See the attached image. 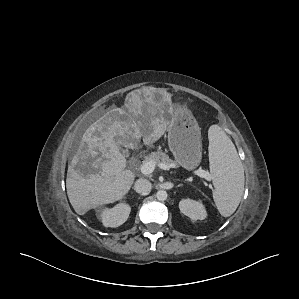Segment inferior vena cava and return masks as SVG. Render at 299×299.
<instances>
[{"label":"inferior vena cava","instance_id":"1","mask_svg":"<svg viewBox=\"0 0 299 299\" xmlns=\"http://www.w3.org/2000/svg\"><path fill=\"white\" fill-rule=\"evenodd\" d=\"M152 184L149 180L140 178L134 184V190L137 193H147L151 191Z\"/></svg>","mask_w":299,"mask_h":299}]
</instances>
